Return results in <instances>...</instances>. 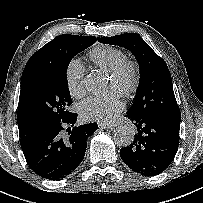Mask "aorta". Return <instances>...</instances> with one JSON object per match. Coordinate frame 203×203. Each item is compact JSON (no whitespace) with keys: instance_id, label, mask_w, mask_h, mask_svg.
Returning a JSON list of instances; mask_svg holds the SVG:
<instances>
[{"instance_id":"762f6f07","label":"aorta","mask_w":203,"mask_h":203,"mask_svg":"<svg viewBox=\"0 0 203 203\" xmlns=\"http://www.w3.org/2000/svg\"><path fill=\"white\" fill-rule=\"evenodd\" d=\"M84 84L86 89L89 91H94L99 86V82L93 74H89L86 76ZM133 139L134 132L130 127L126 125H121L116 128L114 133V140L118 146L121 147L129 146L133 142Z\"/></svg>"}]
</instances>
